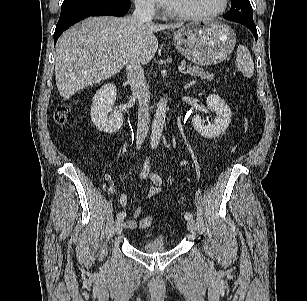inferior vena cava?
Wrapping results in <instances>:
<instances>
[{
    "mask_svg": "<svg viewBox=\"0 0 307 301\" xmlns=\"http://www.w3.org/2000/svg\"><path fill=\"white\" fill-rule=\"evenodd\" d=\"M133 18L139 23H150L153 19L151 7L145 3H136ZM127 80L131 86L133 95L138 99V120L136 133V148L140 150L145 138L147 137L150 125L149 86L144 76L141 64L133 55L130 56L126 66Z\"/></svg>",
    "mask_w": 307,
    "mask_h": 301,
    "instance_id": "obj_1",
    "label": "inferior vena cava"
}]
</instances>
